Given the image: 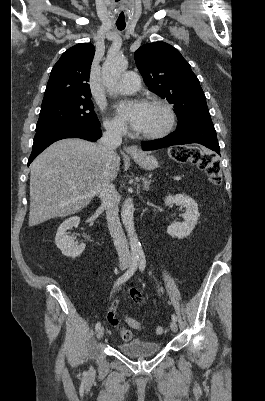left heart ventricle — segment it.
Instances as JSON below:
<instances>
[{"mask_svg": "<svg viewBox=\"0 0 265 401\" xmlns=\"http://www.w3.org/2000/svg\"><path fill=\"white\" fill-rule=\"evenodd\" d=\"M164 122L163 111L154 105H148L143 125L139 128L141 133H150L157 130Z\"/></svg>", "mask_w": 265, "mask_h": 401, "instance_id": "obj_1", "label": "left heart ventricle"}]
</instances>
